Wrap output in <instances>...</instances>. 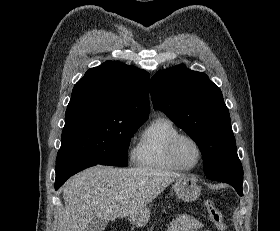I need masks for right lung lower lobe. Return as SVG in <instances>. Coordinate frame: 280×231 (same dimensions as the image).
Here are the masks:
<instances>
[{
  "instance_id": "98d812e1",
  "label": "right lung lower lobe",
  "mask_w": 280,
  "mask_h": 231,
  "mask_svg": "<svg viewBox=\"0 0 280 231\" xmlns=\"http://www.w3.org/2000/svg\"><path fill=\"white\" fill-rule=\"evenodd\" d=\"M94 165L97 164L73 159H56L55 190H58L70 176Z\"/></svg>"
}]
</instances>
